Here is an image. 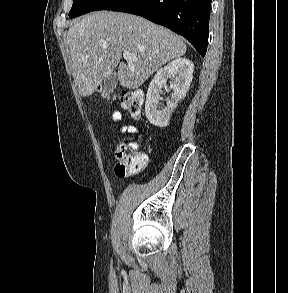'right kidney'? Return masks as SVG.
I'll list each match as a JSON object with an SVG mask.
<instances>
[{
    "mask_svg": "<svg viewBox=\"0 0 288 293\" xmlns=\"http://www.w3.org/2000/svg\"><path fill=\"white\" fill-rule=\"evenodd\" d=\"M194 65L186 58H178L161 68L151 81L145 103V113L149 122L158 127H166L169 124L172 111L177 103L186 96L193 76ZM168 79H171L169 98L166 106L160 107V93Z\"/></svg>",
    "mask_w": 288,
    "mask_h": 293,
    "instance_id": "ca27d5eb",
    "label": "right kidney"
}]
</instances>
